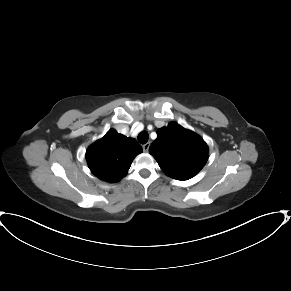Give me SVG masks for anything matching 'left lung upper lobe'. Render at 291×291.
I'll list each match as a JSON object with an SVG mask.
<instances>
[{
	"label": "left lung upper lobe",
	"mask_w": 291,
	"mask_h": 291,
	"mask_svg": "<svg viewBox=\"0 0 291 291\" xmlns=\"http://www.w3.org/2000/svg\"><path fill=\"white\" fill-rule=\"evenodd\" d=\"M166 175L177 180L195 176L208 159V147L196 133L177 123L157 130V139L149 148Z\"/></svg>",
	"instance_id": "obj_1"
}]
</instances>
